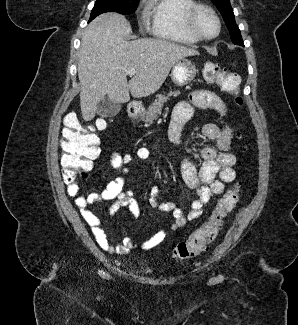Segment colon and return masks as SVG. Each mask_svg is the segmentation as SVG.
Here are the masks:
<instances>
[{
  "label": "colon",
  "instance_id": "obj_1",
  "mask_svg": "<svg viewBox=\"0 0 298 325\" xmlns=\"http://www.w3.org/2000/svg\"><path fill=\"white\" fill-rule=\"evenodd\" d=\"M202 75L207 83L217 85L225 94L232 97L235 105L241 106L243 99L239 93V77L214 62H207L202 67ZM106 122L97 119L86 125L76 114H69L61 138V172L64 182L69 185L85 177L92 166V161L99 155V140L95 133L102 130ZM238 136L243 138V133ZM238 184L230 188L218 201L214 211L205 223L195 230L190 237L174 247L173 257L177 260L190 259L203 252L217 237L223 219L230 214L239 201Z\"/></svg>",
  "mask_w": 298,
  "mask_h": 325
}]
</instances>
